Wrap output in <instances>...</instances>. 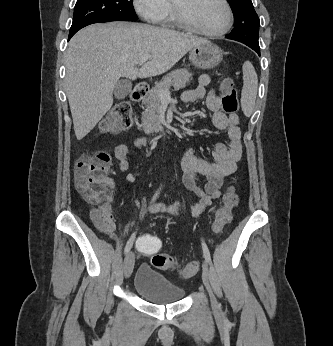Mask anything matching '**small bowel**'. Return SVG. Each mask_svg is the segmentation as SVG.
I'll list each match as a JSON object with an SVG mask.
<instances>
[{"instance_id":"1","label":"small bowel","mask_w":333,"mask_h":346,"mask_svg":"<svg viewBox=\"0 0 333 346\" xmlns=\"http://www.w3.org/2000/svg\"><path fill=\"white\" fill-rule=\"evenodd\" d=\"M209 83L210 77L205 74L201 75L198 80V85L183 93L182 101L188 105L201 100L206 95V105L213 114V124L218 130L227 133L228 143L227 145L216 143L213 146V163L194 155L190 148H185L183 154V183L187 190L199 198L198 202L190 211L181 202L171 205L151 204L148 210L152 213L198 216L214 201L220 198V190L225 179L235 171L236 162L242 156L239 117L235 113L225 114L221 111V101L213 90H210L206 94ZM146 145L147 140L145 138L135 139L132 145H118L115 148L114 156L117 160L119 170L121 172H127L129 168V156L132 150ZM201 178L204 179L202 185L200 184ZM130 180H133V177H130ZM113 207V194H109L102 204L91 210L90 219L101 233L113 240H117Z\"/></svg>"}]
</instances>
